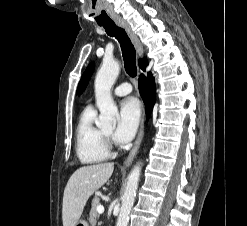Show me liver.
I'll return each mask as SVG.
<instances>
[{
	"label": "liver",
	"mask_w": 247,
	"mask_h": 226,
	"mask_svg": "<svg viewBox=\"0 0 247 226\" xmlns=\"http://www.w3.org/2000/svg\"><path fill=\"white\" fill-rule=\"evenodd\" d=\"M113 163L83 166L70 177L63 196V226H74L89 197L102 187L113 173Z\"/></svg>",
	"instance_id": "6515ba94"
}]
</instances>
